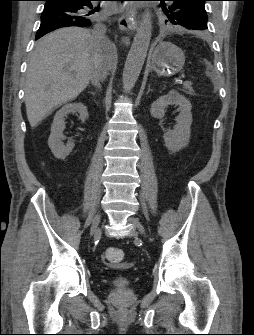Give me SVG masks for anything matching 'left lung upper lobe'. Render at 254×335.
Returning <instances> with one entry per match:
<instances>
[{"label":"left lung upper lobe","mask_w":254,"mask_h":335,"mask_svg":"<svg viewBox=\"0 0 254 335\" xmlns=\"http://www.w3.org/2000/svg\"><path fill=\"white\" fill-rule=\"evenodd\" d=\"M167 16L168 25L182 26L192 30L207 29V14L204 3L207 0H160ZM167 1V2H166Z\"/></svg>","instance_id":"1"}]
</instances>
